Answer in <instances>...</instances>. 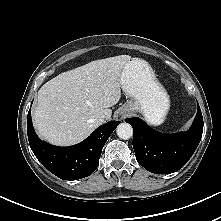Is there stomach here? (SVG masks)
Wrapping results in <instances>:
<instances>
[{"instance_id": "1", "label": "stomach", "mask_w": 221, "mask_h": 221, "mask_svg": "<svg viewBox=\"0 0 221 221\" xmlns=\"http://www.w3.org/2000/svg\"><path fill=\"white\" fill-rule=\"evenodd\" d=\"M121 86L130 98L122 109L142 113L152 125H159L164 121L170 107V99L146 61L130 59L123 67Z\"/></svg>"}]
</instances>
